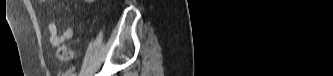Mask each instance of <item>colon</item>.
<instances>
[{
  "label": "colon",
  "instance_id": "1",
  "mask_svg": "<svg viewBox=\"0 0 333 76\" xmlns=\"http://www.w3.org/2000/svg\"><path fill=\"white\" fill-rule=\"evenodd\" d=\"M57 56L61 61H69L73 57V52L68 47L62 46L58 48Z\"/></svg>",
  "mask_w": 333,
  "mask_h": 76
}]
</instances>
